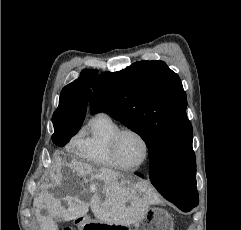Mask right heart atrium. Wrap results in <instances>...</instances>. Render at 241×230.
Segmentation results:
<instances>
[{
  "mask_svg": "<svg viewBox=\"0 0 241 230\" xmlns=\"http://www.w3.org/2000/svg\"><path fill=\"white\" fill-rule=\"evenodd\" d=\"M79 142H80L79 136H75V137L71 140L70 145L76 149L77 146H78V144H79Z\"/></svg>",
  "mask_w": 241,
  "mask_h": 230,
  "instance_id": "right-heart-atrium-1",
  "label": "right heart atrium"
}]
</instances>
